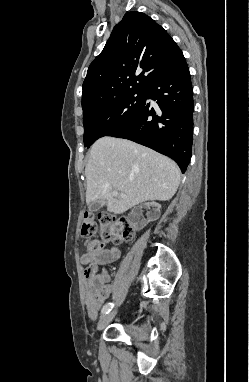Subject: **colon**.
<instances>
[{
	"mask_svg": "<svg viewBox=\"0 0 249 382\" xmlns=\"http://www.w3.org/2000/svg\"><path fill=\"white\" fill-rule=\"evenodd\" d=\"M98 223L102 227L101 240L88 239L85 242L86 251L89 253L100 251L105 243L128 241L135 235L136 229L129 220L118 219L111 214H100L96 217L91 213H86L83 217L82 235L92 236L97 230Z\"/></svg>",
	"mask_w": 249,
	"mask_h": 382,
	"instance_id": "5ec220e1",
	"label": "colon"
}]
</instances>
